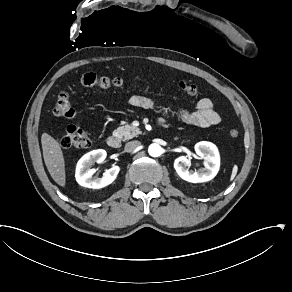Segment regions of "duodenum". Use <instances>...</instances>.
I'll list each match as a JSON object with an SVG mask.
<instances>
[{"instance_id": "410a0bca", "label": "duodenum", "mask_w": 292, "mask_h": 292, "mask_svg": "<svg viewBox=\"0 0 292 292\" xmlns=\"http://www.w3.org/2000/svg\"><path fill=\"white\" fill-rule=\"evenodd\" d=\"M107 144L112 149H117L120 147V139L115 135H111L107 139Z\"/></svg>"}]
</instances>
